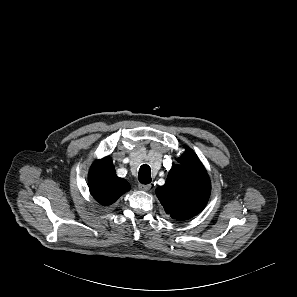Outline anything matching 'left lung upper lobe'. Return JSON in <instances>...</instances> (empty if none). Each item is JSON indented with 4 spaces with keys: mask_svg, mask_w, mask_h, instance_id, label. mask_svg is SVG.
I'll return each instance as SVG.
<instances>
[{
    "mask_svg": "<svg viewBox=\"0 0 297 297\" xmlns=\"http://www.w3.org/2000/svg\"><path fill=\"white\" fill-rule=\"evenodd\" d=\"M168 173L166 183L156 189V195L165 212L178 221L199 214L206 206L211 183L209 176L195 154L186 148Z\"/></svg>",
    "mask_w": 297,
    "mask_h": 297,
    "instance_id": "left-lung-upper-lobe-1",
    "label": "left lung upper lobe"
}]
</instances>
